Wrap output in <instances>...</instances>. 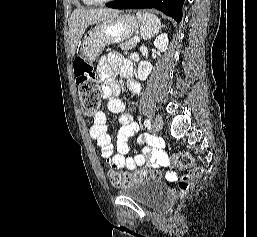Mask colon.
<instances>
[{"mask_svg":"<svg viewBox=\"0 0 257 237\" xmlns=\"http://www.w3.org/2000/svg\"><path fill=\"white\" fill-rule=\"evenodd\" d=\"M74 74L78 93L84 114L94 116L98 113L101 103V89L94 68L83 58L74 60ZM173 162L178 168L187 169L179 180L181 195L187 194L193 187L194 181L202 174V169L194 164L193 158L187 152L173 155ZM159 174L149 169H140L131 173L110 171L109 179L114 188H122L131 184L158 178Z\"/></svg>","mask_w":257,"mask_h":237,"instance_id":"obj_1","label":"colon"}]
</instances>
